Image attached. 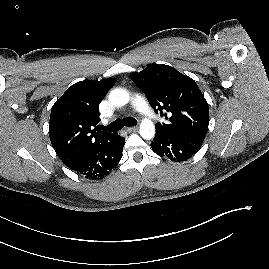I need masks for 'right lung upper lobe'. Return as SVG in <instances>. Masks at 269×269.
<instances>
[{
    "label": "right lung upper lobe",
    "instance_id": "obj_1",
    "mask_svg": "<svg viewBox=\"0 0 269 269\" xmlns=\"http://www.w3.org/2000/svg\"><path fill=\"white\" fill-rule=\"evenodd\" d=\"M115 79L85 80L73 84L51 110L49 137L54 150L66 166L107 142L116 133L97 132L99 104Z\"/></svg>",
    "mask_w": 269,
    "mask_h": 269
}]
</instances>
